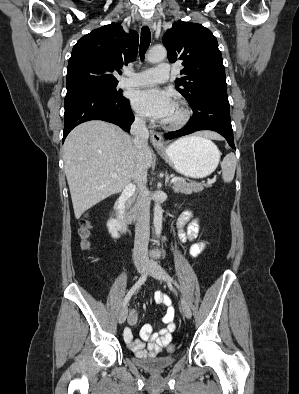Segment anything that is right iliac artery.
I'll return each instance as SVG.
<instances>
[{"label":"right iliac artery","instance_id":"obj_1","mask_svg":"<svg viewBox=\"0 0 299 394\" xmlns=\"http://www.w3.org/2000/svg\"><path fill=\"white\" fill-rule=\"evenodd\" d=\"M148 276V272L144 273L139 280L133 285V287L130 289V291L127 293L123 300V308L126 307L128 304L129 300L131 299L132 295L140 288V286L145 282L146 278Z\"/></svg>","mask_w":299,"mask_h":394}]
</instances>
